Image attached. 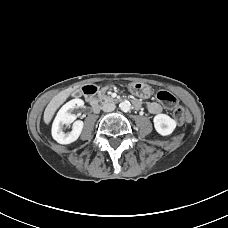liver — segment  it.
<instances>
[{"label": "liver", "instance_id": "1", "mask_svg": "<svg viewBox=\"0 0 228 228\" xmlns=\"http://www.w3.org/2000/svg\"><path fill=\"white\" fill-rule=\"evenodd\" d=\"M76 88L67 89L58 93L56 96L52 98V100L47 105L44 111V122L45 124H49L53 118L55 111L59 108V106L68 98V96L75 91Z\"/></svg>", "mask_w": 228, "mask_h": 228}]
</instances>
